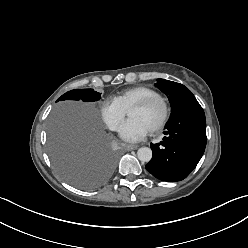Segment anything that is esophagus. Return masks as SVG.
Masks as SVG:
<instances>
[{"label": "esophagus", "instance_id": "34e87169", "mask_svg": "<svg viewBox=\"0 0 248 248\" xmlns=\"http://www.w3.org/2000/svg\"><path fill=\"white\" fill-rule=\"evenodd\" d=\"M137 148H138L137 145H125V149H126L127 151L135 150V149H137Z\"/></svg>", "mask_w": 248, "mask_h": 248}]
</instances>
